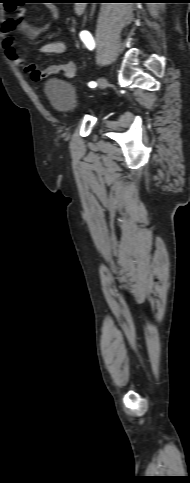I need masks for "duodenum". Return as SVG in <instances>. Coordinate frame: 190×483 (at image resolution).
Returning a JSON list of instances; mask_svg holds the SVG:
<instances>
[{
	"label": "duodenum",
	"instance_id": "obj_1",
	"mask_svg": "<svg viewBox=\"0 0 190 483\" xmlns=\"http://www.w3.org/2000/svg\"><path fill=\"white\" fill-rule=\"evenodd\" d=\"M78 3H82V2H78ZM82 11H83V6L81 4H78L75 8L76 14H81Z\"/></svg>",
	"mask_w": 190,
	"mask_h": 483
}]
</instances>
